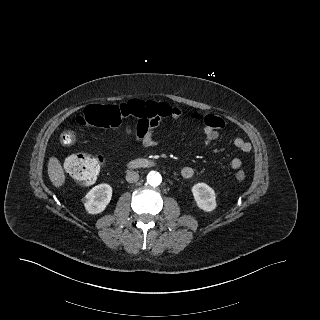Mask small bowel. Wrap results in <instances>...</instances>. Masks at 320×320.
<instances>
[{
  "mask_svg": "<svg viewBox=\"0 0 320 320\" xmlns=\"http://www.w3.org/2000/svg\"><path fill=\"white\" fill-rule=\"evenodd\" d=\"M169 112L166 116H169L173 120H178L181 117V111L179 108L174 106H169ZM187 117L191 121L202 122L204 124V139L207 144L215 141L219 136V129L223 127V122L220 118L216 116H204L197 111L189 112ZM158 126V122L152 121H138L136 126V140L144 147H153L158 143L155 138V130ZM127 134L131 133L129 127L126 128ZM233 145L237 150L242 153H248L251 151V144L246 142L242 138H235ZM232 169L236 170L242 166V160L240 158H233L230 163ZM181 174L184 178L188 179L194 175V169L190 166H186L182 169Z\"/></svg>",
  "mask_w": 320,
  "mask_h": 320,
  "instance_id": "1",
  "label": "small bowel"
}]
</instances>
